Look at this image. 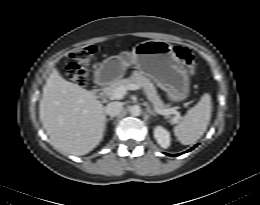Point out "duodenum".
Listing matches in <instances>:
<instances>
[{
    "instance_id": "410a0bca",
    "label": "duodenum",
    "mask_w": 260,
    "mask_h": 205,
    "mask_svg": "<svg viewBox=\"0 0 260 205\" xmlns=\"http://www.w3.org/2000/svg\"><path fill=\"white\" fill-rule=\"evenodd\" d=\"M99 80V85L98 87L94 90L93 94L97 99H102L104 97V94L106 92V83L104 80L102 79H98Z\"/></svg>"
}]
</instances>
